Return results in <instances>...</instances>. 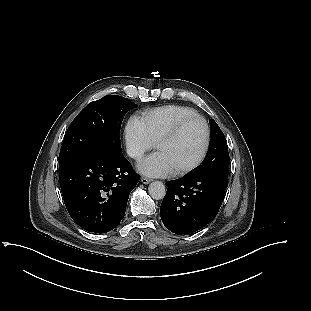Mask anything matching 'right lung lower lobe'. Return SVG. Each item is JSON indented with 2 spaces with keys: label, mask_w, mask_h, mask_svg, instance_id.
Instances as JSON below:
<instances>
[{
  "label": "right lung lower lobe",
  "mask_w": 311,
  "mask_h": 311,
  "mask_svg": "<svg viewBox=\"0 0 311 311\" xmlns=\"http://www.w3.org/2000/svg\"><path fill=\"white\" fill-rule=\"evenodd\" d=\"M139 179L122 154L83 156L59 172L70 216L81 228L95 233L109 232L120 223Z\"/></svg>",
  "instance_id": "1"
}]
</instances>
